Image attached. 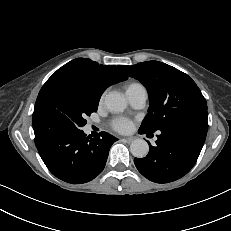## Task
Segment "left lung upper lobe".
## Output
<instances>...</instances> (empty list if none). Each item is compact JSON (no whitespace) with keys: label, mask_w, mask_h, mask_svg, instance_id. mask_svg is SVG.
I'll return each instance as SVG.
<instances>
[{"label":"left lung upper lobe","mask_w":231,"mask_h":231,"mask_svg":"<svg viewBox=\"0 0 231 231\" xmlns=\"http://www.w3.org/2000/svg\"><path fill=\"white\" fill-rule=\"evenodd\" d=\"M121 70L147 89L150 106L140 128L155 132L175 122L206 120L207 103L196 83L180 70L158 61H146Z\"/></svg>","instance_id":"left-lung-upper-lobe-1"}]
</instances>
